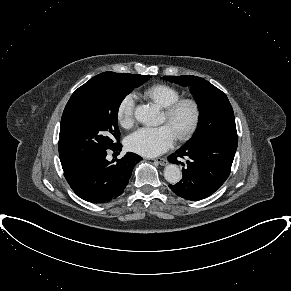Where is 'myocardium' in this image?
<instances>
[{
	"instance_id": "f54148a6",
	"label": "myocardium",
	"mask_w": 291,
	"mask_h": 291,
	"mask_svg": "<svg viewBox=\"0 0 291 291\" xmlns=\"http://www.w3.org/2000/svg\"><path fill=\"white\" fill-rule=\"evenodd\" d=\"M185 107L190 108L192 115L187 128L176 136L179 141H186L190 139L196 132L202 115L201 105L194 98H181L170 106L166 107L164 110V115L166 116L167 120L172 121Z\"/></svg>"
}]
</instances>
